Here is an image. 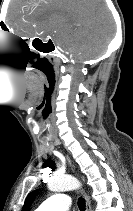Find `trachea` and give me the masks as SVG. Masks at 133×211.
<instances>
[{
	"mask_svg": "<svg viewBox=\"0 0 133 211\" xmlns=\"http://www.w3.org/2000/svg\"><path fill=\"white\" fill-rule=\"evenodd\" d=\"M78 207L81 211H85V199L84 198L78 199Z\"/></svg>",
	"mask_w": 133,
	"mask_h": 211,
	"instance_id": "1",
	"label": "trachea"
}]
</instances>
